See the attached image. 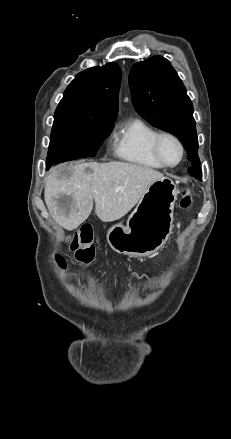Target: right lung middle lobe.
Returning a JSON list of instances; mask_svg holds the SVG:
<instances>
[{
  "label": "right lung middle lobe",
  "instance_id": "right-lung-middle-lobe-1",
  "mask_svg": "<svg viewBox=\"0 0 231 439\" xmlns=\"http://www.w3.org/2000/svg\"><path fill=\"white\" fill-rule=\"evenodd\" d=\"M113 127V122L90 117L54 118L47 170L54 164L95 156Z\"/></svg>",
  "mask_w": 231,
  "mask_h": 439
}]
</instances>
